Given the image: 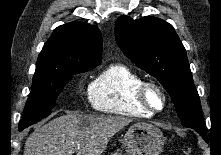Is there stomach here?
<instances>
[{
    "mask_svg": "<svg viewBox=\"0 0 221 155\" xmlns=\"http://www.w3.org/2000/svg\"><path fill=\"white\" fill-rule=\"evenodd\" d=\"M164 142L161 130L146 123L132 125L122 140L127 155H160ZM114 155H119V151Z\"/></svg>",
    "mask_w": 221,
    "mask_h": 155,
    "instance_id": "stomach-1",
    "label": "stomach"
}]
</instances>
